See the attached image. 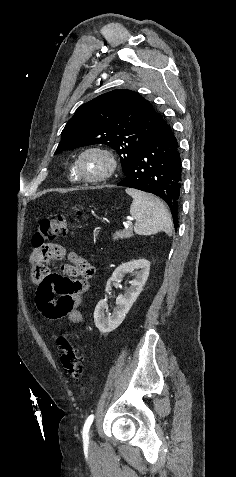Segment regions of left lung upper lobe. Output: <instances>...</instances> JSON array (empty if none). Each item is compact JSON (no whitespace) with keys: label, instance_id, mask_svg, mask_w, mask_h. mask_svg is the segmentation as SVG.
I'll list each match as a JSON object with an SVG mask.
<instances>
[{"label":"left lung upper lobe","instance_id":"1","mask_svg":"<svg viewBox=\"0 0 236 477\" xmlns=\"http://www.w3.org/2000/svg\"><path fill=\"white\" fill-rule=\"evenodd\" d=\"M162 116L139 93L116 89L81 105L62 131L55 154L105 144L120 156L124 175L134 155L150 139Z\"/></svg>","mask_w":236,"mask_h":477}]
</instances>
